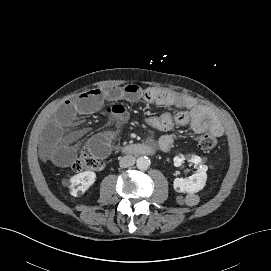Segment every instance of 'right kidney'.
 <instances>
[{"label":"right kidney","instance_id":"obj_1","mask_svg":"<svg viewBox=\"0 0 271 271\" xmlns=\"http://www.w3.org/2000/svg\"><path fill=\"white\" fill-rule=\"evenodd\" d=\"M96 181V174L93 171H85L73 176L70 179V194L74 197L83 195Z\"/></svg>","mask_w":271,"mask_h":271}]
</instances>
